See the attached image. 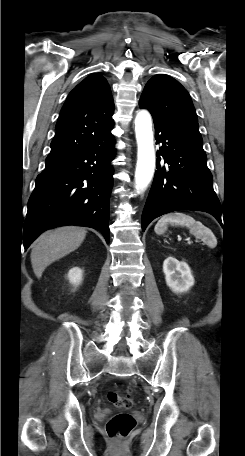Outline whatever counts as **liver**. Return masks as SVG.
Masks as SVG:
<instances>
[{"label":"liver","instance_id":"1","mask_svg":"<svg viewBox=\"0 0 245 456\" xmlns=\"http://www.w3.org/2000/svg\"><path fill=\"white\" fill-rule=\"evenodd\" d=\"M86 233L82 227L65 226L40 235L30 256L36 277L41 278L47 266L76 250L84 241Z\"/></svg>","mask_w":245,"mask_h":456}]
</instances>
